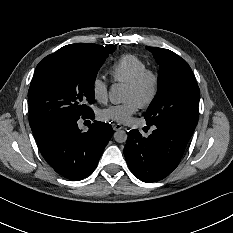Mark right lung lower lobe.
<instances>
[{
	"label": "right lung lower lobe",
	"mask_w": 233,
	"mask_h": 233,
	"mask_svg": "<svg viewBox=\"0 0 233 233\" xmlns=\"http://www.w3.org/2000/svg\"><path fill=\"white\" fill-rule=\"evenodd\" d=\"M80 118H66L31 127L39 150L48 164L63 177L78 181L96 168L113 135L110 124L94 121L87 132L78 128ZM82 119H94L91 111Z\"/></svg>",
	"instance_id": "obj_1"
}]
</instances>
